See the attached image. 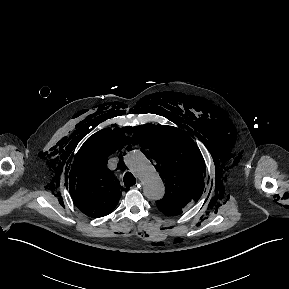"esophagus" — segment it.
<instances>
[{
	"instance_id": "34e87169",
	"label": "esophagus",
	"mask_w": 289,
	"mask_h": 289,
	"mask_svg": "<svg viewBox=\"0 0 289 289\" xmlns=\"http://www.w3.org/2000/svg\"><path fill=\"white\" fill-rule=\"evenodd\" d=\"M132 188L136 189V188H140V183H137L136 185H134Z\"/></svg>"
}]
</instances>
